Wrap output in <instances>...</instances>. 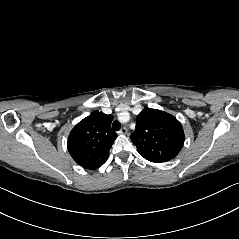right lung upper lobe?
<instances>
[{
    "label": "right lung upper lobe",
    "mask_w": 239,
    "mask_h": 239,
    "mask_svg": "<svg viewBox=\"0 0 239 239\" xmlns=\"http://www.w3.org/2000/svg\"><path fill=\"white\" fill-rule=\"evenodd\" d=\"M112 120V115L96 110L72 129L67 147L80 166L92 170L105 163L117 138L116 132L110 127Z\"/></svg>",
    "instance_id": "1"
}]
</instances>
